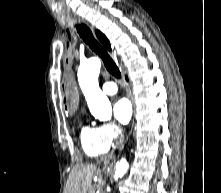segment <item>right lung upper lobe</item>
<instances>
[{
	"mask_svg": "<svg viewBox=\"0 0 221 193\" xmlns=\"http://www.w3.org/2000/svg\"><path fill=\"white\" fill-rule=\"evenodd\" d=\"M96 34H97V37L99 38V40L102 42V44L108 50H110V43H109L108 39L100 31H96Z\"/></svg>",
	"mask_w": 221,
	"mask_h": 193,
	"instance_id": "right-lung-upper-lobe-1",
	"label": "right lung upper lobe"
}]
</instances>
